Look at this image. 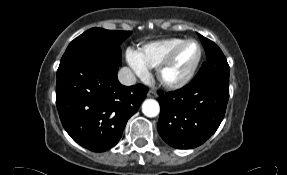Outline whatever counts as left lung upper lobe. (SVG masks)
<instances>
[{
	"mask_svg": "<svg viewBox=\"0 0 287 175\" xmlns=\"http://www.w3.org/2000/svg\"><path fill=\"white\" fill-rule=\"evenodd\" d=\"M199 36L206 51L207 61L202 64V67L192 81L199 82L215 78L229 81L230 69L224 54L214 42L202 35Z\"/></svg>",
	"mask_w": 287,
	"mask_h": 175,
	"instance_id": "left-lung-upper-lobe-1",
	"label": "left lung upper lobe"
}]
</instances>
